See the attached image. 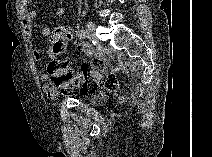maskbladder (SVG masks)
<instances>
[{
	"label": "bladder",
	"instance_id": "1",
	"mask_svg": "<svg viewBox=\"0 0 212 157\" xmlns=\"http://www.w3.org/2000/svg\"><path fill=\"white\" fill-rule=\"evenodd\" d=\"M87 104L93 107H100L106 103L107 96L101 92H90L87 96Z\"/></svg>",
	"mask_w": 212,
	"mask_h": 157
}]
</instances>
